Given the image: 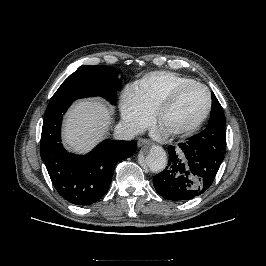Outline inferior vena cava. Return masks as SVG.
Here are the masks:
<instances>
[{
  "label": "inferior vena cava",
  "instance_id": "obj_1",
  "mask_svg": "<svg viewBox=\"0 0 266 266\" xmlns=\"http://www.w3.org/2000/svg\"><path fill=\"white\" fill-rule=\"evenodd\" d=\"M141 132L140 127L135 124L120 122L115 128V138L119 140H132Z\"/></svg>",
  "mask_w": 266,
  "mask_h": 266
}]
</instances>
